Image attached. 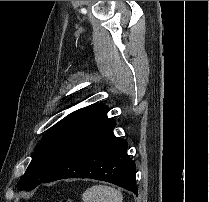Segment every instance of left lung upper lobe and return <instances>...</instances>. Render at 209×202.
<instances>
[{"label":"left lung upper lobe","instance_id":"1","mask_svg":"<svg viewBox=\"0 0 209 202\" xmlns=\"http://www.w3.org/2000/svg\"><path fill=\"white\" fill-rule=\"evenodd\" d=\"M104 107L97 103L79 109L56 123L42 137L41 144L32 158L25 174L18 181L21 190L30 191L37 187L51 172L63 146L77 128L92 114Z\"/></svg>","mask_w":209,"mask_h":202}]
</instances>
